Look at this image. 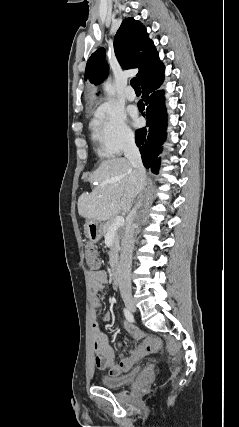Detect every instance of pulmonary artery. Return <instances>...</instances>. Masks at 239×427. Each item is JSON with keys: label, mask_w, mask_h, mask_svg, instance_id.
Wrapping results in <instances>:
<instances>
[{"label": "pulmonary artery", "mask_w": 239, "mask_h": 427, "mask_svg": "<svg viewBox=\"0 0 239 427\" xmlns=\"http://www.w3.org/2000/svg\"><path fill=\"white\" fill-rule=\"evenodd\" d=\"M125 96L129 101H133L136 98V94L131 86H128L125 90Z\"/></svg>", "instance_id": "1"}]
</instances>
